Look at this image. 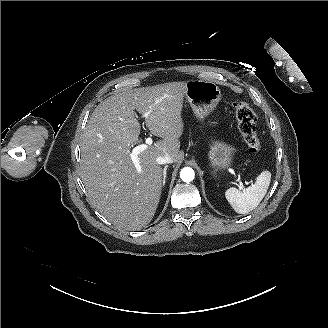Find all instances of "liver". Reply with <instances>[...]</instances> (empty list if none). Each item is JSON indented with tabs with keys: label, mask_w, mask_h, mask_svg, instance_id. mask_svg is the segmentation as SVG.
<instances>
[{
	"label": "liver",
	"mask_w": 328,
	"mask_h": 328,
	"mask_svg": "<svg viewBox=\"0 0 328 328\" xmlns=\"http://www.w3.org/2000/svg\"><path fill=\"white\" fill-rule=\"evenodd\" d=\"M186 85L167 83L115 94L95 108L87 123L81 138L82 181L96 209L120 228L140 229L157 211L164 183L157 157L168 154L178 161ZM135 111L162 138L138 154L142 174L130 156L131 147L142 142Z\"/></svg>",
	"instance_id": "6515ba94"
}]
</instances>
